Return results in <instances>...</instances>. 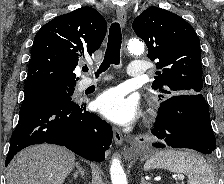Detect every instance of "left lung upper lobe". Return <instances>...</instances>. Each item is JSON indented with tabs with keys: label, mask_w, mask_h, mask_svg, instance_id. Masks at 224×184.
Masks as SVG:
<instances>
[{
	"label": "left lung upper lobe",
	"mask_w": 224,
	"mask_h": 184,
	"mask_svg": "<svg viewBox=\"0 0 224 184\" xmlns=\"http://www.w3.org/2000/svg\"><path fill=\"white\" fill-rule=\"evenodd\" d=\"M133 28L146 43L148 58L159 60L152 85L159 97L201 94L200 40L188 22L165 9L150 7L133 21Z\"/></svg>",
	"instance_id": "1"
}]
</instances>
